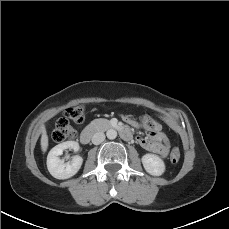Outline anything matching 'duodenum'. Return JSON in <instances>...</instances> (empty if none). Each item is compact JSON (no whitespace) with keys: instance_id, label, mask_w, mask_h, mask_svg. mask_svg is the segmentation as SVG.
<instances>
[{"instance_id":"duodenum-1","label":"duodenum","mask_w":229,"mask_h":229,"mask_svg":"<svg viewBox=\"0 0 229 229\" xmlns=\"http://www.w3.org/2000/svg\"><path fill=\"white\" fill-rule=\"evenodd\" d=\"M110 128L119 129L120 136L125 140H130L132 138L130 131L125 127H120L117 123L111 124ZM96 132L97 128L95 126H87L81 132L80 142L83 144H88Z\"/></svg>"}]
</instances>
